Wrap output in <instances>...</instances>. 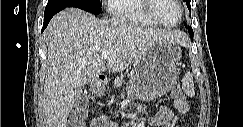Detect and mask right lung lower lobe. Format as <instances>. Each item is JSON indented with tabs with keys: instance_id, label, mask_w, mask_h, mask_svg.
<instances>
[{
	"instance_id": "right-lung-lower-lobe-1",
	"label": "right lung lower lobe",
	"mask_w": 243,
	"mask_h": 127,
	"mask_svg": "<svg viewBox=\"0 0 243 127\" xmlns=\"http://www.w3.org/2000/svg\"><path fill=\"white\" fill-rule=\"evenodd\" d=\"M59 11H52V12H46L44 13V24H43V28L42 31L47 27L49 21L51 20V18L58 13Z\"/></svg>"
}]
</instances>
